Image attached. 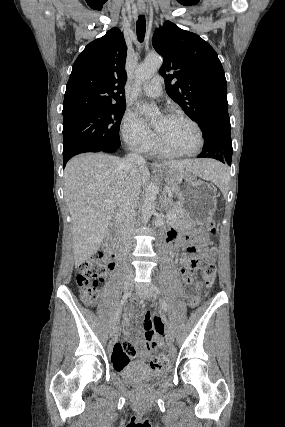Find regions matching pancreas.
I'll use <instances>...</instances> for the list:
<instances>
[{
  "label": "pancreas",
  "mask_w": 285,
  "mask_h": 427,
  "mask_svg": "<svg viewBox=\"0 0 285 427\" xmlns=\"http://www.w3.org/2000/svg\"><path fill=\"white\" fill-rule=\"evenodd\" d=\"M166 210H167V215H170V217H166L167 222L170 224L180 223L186 219L183 210L172 203L168 204V207Z\"/></svg>",
  "instance_id": "cf45deb5"
}]
</instances>
